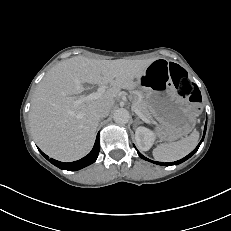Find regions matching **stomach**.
<instances>
[{"instance_id": "0dacf381", "label": "stomach", "mask_w": 231, "mask_h": 231, "mask_svg": "<svg viewBox=\"0 0 231 231\" xmlns=\"http://www.w3.org/2000/svg\"><path fill=\"white\" fill-rule=\"evenodd\" d=\"M137 82L158 122L161 140L172 142L192 131L197 120L196 106L188 97L178 94L165 60H154Z\"/></svg>"}]
</instances>
